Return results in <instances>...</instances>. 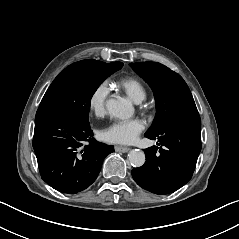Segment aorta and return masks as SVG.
<instances>
[{
    "label": "aorta",
    "mask_w": 239,
    "mask_h": 239,
    "mask_svg": "<svg viewBox=\"0 0 239 239\" xmlns=\"http://www.w3.org/2000/svg\"><path fill=\"white\" fill-rule=\"evenodd\" d=\"M108 113L119 119H128L134 113L132 103L122 98H111L106 103ZM130 163L135 167H141L145 163V154L140 150H131L128 155Z\"/></svg>",
    "instance_id": "1"
}]
</instances>
